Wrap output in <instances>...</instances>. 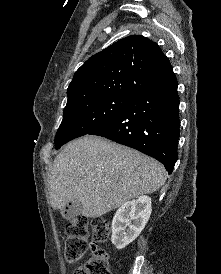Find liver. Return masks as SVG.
<instances>
[{"mask_svg": "<svg viewBox=\"0 0 221 274\" xmlns=\"http://www.w3.org/2000/svg\"><path fill=\"white\" fill-rule=\"evenodd\" d=\"M162 164L136 150L97 136H84L55 157L49 176L50 204L65 209L78 200L85 217H101L165 183Z\"/></svg>", "mask_w": 221, "mask_h": 274, "instance_id": "6515ba94", "label": "liver"}]
</instances>
